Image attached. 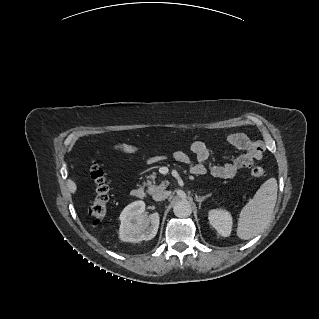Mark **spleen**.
I'll return each mask as SVG.
<instances>
[{"label":"spleen","mask_w":319,"mask_h":319,"mask_svg":"<svg viewBox=\"0 0 319 319\" xmlns=\"http://www.w3.org/2000/svg\"><path fill=\"white\" fill-rule=\"evenodd\" d=\"M277 180H266L240 212L237 236L249 240L260 234L269 224L277 200Z\"/></svg>","instance_id":"1"}]
</instances>
